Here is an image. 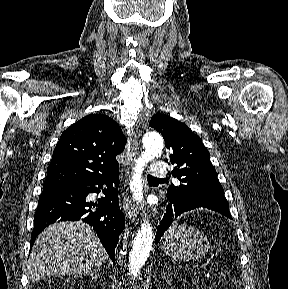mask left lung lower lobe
Masks as SVG:
<instances>
[{"label": "left lung lower lobe", "instance_id": "0a47b994", "mask_svg": "<svg viewBox=\"0 0 288 289\" xmlns=\"http://www.w3.org/2000/svg\"><path fill=\"white\" fill-rule=\"evenodd\" d=\"M209 209L203 205L199 204H186L180 201H170V203L167 206V211L165 216L163 217L160 226L157 229V233L155 236V241L158 243L162 235L165 233V231L169 228V226L176 220L178 216H180L182 213L186 211H190L193 209ZM213 210V209H211ZM216 211V210H214ZM218 212V211H217ZM220 213V212H219ZM225 215V214H223ZM226 217L231 219L230 215H225Z\"/></svg>", "mask_w": 288, "mask_h": 289}]
</instances>
